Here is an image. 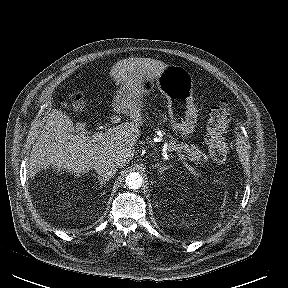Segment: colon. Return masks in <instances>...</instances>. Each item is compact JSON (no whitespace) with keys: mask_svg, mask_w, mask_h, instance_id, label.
Listing matches in <instances>:
<instances>
[{"mask_svg":"<svg viewBox=\"0 0 288 288\" xmlns=\"http://www.w3.org/2000/svg\"><path fill=\"white\" fill-rule=\"evenodd\" d=\"M79 101V97L77 98ZM231 106L227 100L210 108L206 122L205 141L211 158L217 163H223L228 156V144L225 134L230 122Z\"/></svg>","mask_w":288,"mask_h":288,"instance_id":"1","label":"colon"}]
</instances>
